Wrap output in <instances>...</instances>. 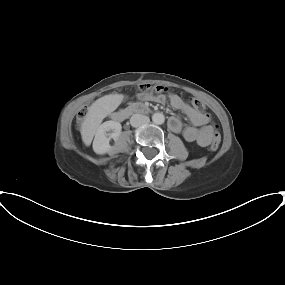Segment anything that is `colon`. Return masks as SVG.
<instances>
[{"mask_svg":"<svg viewBox=\"0 0 285 285\" xmlns=\"http://www.w3.org/2000/svg\"><path fill=\"white\" fill-rule=\"evenodd\" d=\"M139 90L142 94H159L162 93L166 90V88L164 86L161 85H151L148 83H143L139 86ZM191 104L198 110L201 111H206V106L204 104V102L198 98H192L191 100ZM87 114V110L83 109L78 116V123H80L82 121V119L86 116ZM207 117L209 118V114H206ZM210 130H211V136H212V140H211V149L216 150L219 147V144L221 142V134L219 131L218 126L215 123H211L210 124Z\"/></svg>","mask_w":285,"mask_h":285,"instance_id":"1","label":"colon"}]
</instances>
